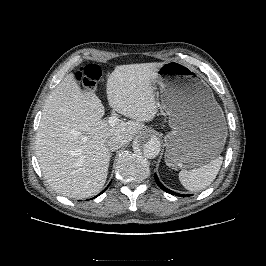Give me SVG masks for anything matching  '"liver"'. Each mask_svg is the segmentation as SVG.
Instances as JSON below:
<instances>
[{"label":"liver","instance_id":"obj_1","mask_svg":"<svg viewBox=\"0 0 266 266\" xmlns=\"http://www.w3.org/2000/svg\"><path fill=\"white\" fill-rule=\"evenodd\" d=\"M163 64L119 65L109 75V105L130 118L128 122L111 125L104 120L101 100L93 91H83L72 73L49 94L35 146L43 176L57 193L82 199L101 191L111 158L106 142L120 135L128 143L143 129L144 122L154 119L160 104L153 82Z\"/></svg>","mask_w":266,"mask_h":266}]
</instances>
